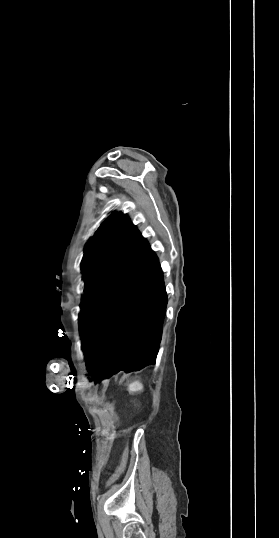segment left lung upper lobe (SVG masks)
<instances>
[{
	"mask_svg": "<svg viewBox=\"0 0 279 538\" xmlns=\"http://www.w3.org/2000/svg\"><path fill=\"white\" fill-rule=\"evenodd\" d=\"M143 241L136 226L125 215L109 216L101 224L84 251L82 271L85 289L82 313Z\"/></svg>",
	"mask_w": 279,
	"mask_h": 538,
	"instance_id": "obj_1",
	"label": "left lung upper lobe"
}]
</instances>
